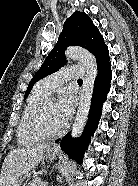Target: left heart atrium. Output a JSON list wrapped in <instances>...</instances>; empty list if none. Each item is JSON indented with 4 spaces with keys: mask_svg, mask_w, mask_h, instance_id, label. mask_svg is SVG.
<instances>
[{
    "mask_svg": "<svg viewBox=\"0 0 138 186\" xmlns=\"http://www.w3.org/2000/svg\"><path fill=\"white\" fill-rule=\"evenodd\" d=\"M57 106L60 116L64 124H66L73 112V98L71 94L64 93L59 99Z\"/></svg>",
    "mask_w": 138,
    "mask_h": 186,
    "instance_id": "39dd6f15",
    "label": "left heart atrium"
}]
</instances>
